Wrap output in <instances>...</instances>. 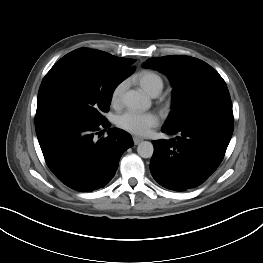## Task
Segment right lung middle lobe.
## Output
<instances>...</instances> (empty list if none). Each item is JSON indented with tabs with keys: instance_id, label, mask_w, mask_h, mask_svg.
Returning <instances> with one entry per match:
<instances>
[{
	"instance_id": "1",
	"label": "right lung middle lobe",
	"mask_w": 263,
	"mask_h": 263,
	"mask_svg": "<svg viewBox=\"0 0 263 263\" xmlns=\"http://www.w3.org/2000/svg\"><path fill=\"white\" fill-rule=\"evenodd\" d=\"M132 73L84 55H65L41 83L35 125L53 120L106 121L103 113L109 110L114 89Z\"/></svg>"
}]
</instances>
